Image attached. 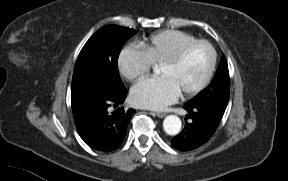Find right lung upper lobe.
I'll return each instance as SVG.
<instances>
[{"instance_id": "cb5924a9", "label": "right lung upper lobe", "mask_w": 288, "mask_h": 181, "mask_svg": "<svg viewBox=\"0 0 288 181\" xmlns=\"http://www.w3.org/2000/svg\"><path fill=\"white\" fill-rule=\"evenodd\" d=\"M74 115V114H73ZM85 116V111H80L74 115L75 124H79Z\"/></svg>"}]
</instances>
